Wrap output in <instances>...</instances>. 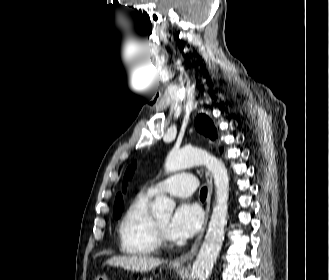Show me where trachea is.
<instances>
[{
	"label": "trachea",
	"mask_w": 329,
	"mask_h": 280,
	"mask_svg": "<svg viewBox=\"0 0 329 280\" xmlns=\"http://www.w3.org/2000/svg\"><path fill=\"white\" fill-rule=\"evenodd\" d=\"M206 196H207V187H203L200 192V198L204 200L206 199Z\"/></svg>",
	"instance_id": "trachea-1"
}]
</instances>
